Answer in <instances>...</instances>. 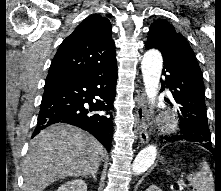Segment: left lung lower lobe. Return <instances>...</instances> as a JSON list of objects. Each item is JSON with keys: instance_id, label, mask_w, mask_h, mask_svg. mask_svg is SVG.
I'll return each mask as SVG.
<instances>
[{"instance_id": "obj_1", "label": "left lung lower lobe", "mask_w": 221, "mask_h": 191, "mask_svg": "<svg viewBox=\"0 0 221 191\" xmlns=\"http://www.w3.org/2000/svg\"><path fill=\"white\" fill-rule=\"evenodd\" d=\"M175 59H164L162 87L171 91L178 106L180 132L166 140L169 142H199L208 138L209 128L205 106L203 76L193 51L183 49ZM203 146V145H202ZM209 150L210 146H203Z\"/></svg>"}]
</instances>
